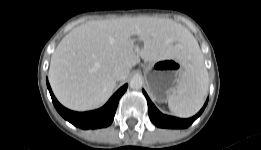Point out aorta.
I'll use <instances>...</instances> for the list:
<instances>
[{"label":"aorta","mask_w":261,"mask_h":150,"mask_svg":"<svg viewBox=\"0 0 261 150\" xmlns=\"http://www.w3.org/2000/svg\"><path fill=\"white\" fill-rule=\"evenodd\" d=\"M129 86L133 90H139L143 86V80L140 76H134L129 83Z\"/></svg>","instance_id":"1"}]
</instances>
